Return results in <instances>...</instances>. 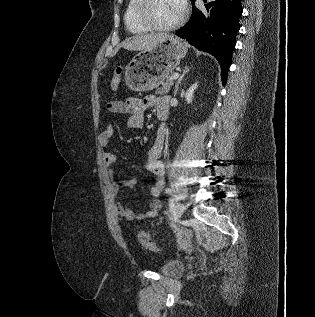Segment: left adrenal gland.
Masks as SVG:
<instances>
[{"instance_id":"a2214340","label":"left adrenal gland","mask_w":315,"mask_h":317,"mask_svg":"<svg viewBox=\"0 0 315 317\" xmlns=\"http://www.w3.org/2000/svg\"><path fill=\"white\" fill-rule=\"evenodd\" d=\"M188 71H189V68L187 66H185L184 69H183L182 75L179 77V79H178V81H177V83L175 85L174 96L177 95L179 84L181 83L183 77L188 73Z\"/></svg>"}]
</instances>
